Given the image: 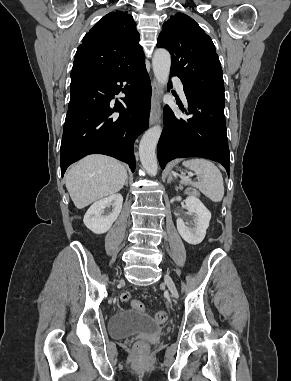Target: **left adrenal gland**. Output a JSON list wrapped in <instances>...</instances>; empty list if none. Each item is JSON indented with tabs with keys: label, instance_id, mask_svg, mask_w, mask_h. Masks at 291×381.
Returning <instances> with one entry per match:
<instances>
[{
	"label": "left adrenal gland",
	"instance_id": "a2214340",
	"mask_svg": "<svg viewBox=\"0 0 291 381\" xmlns=\"http://www.w3.org/2000/svg\"><path fill=\"white\" fill-rule=\"evenodd\" d=\"M171 181H173V176H172V173H169L167 183H170Z\"/></svg>",
	"mask_w": 291,
	"mask_h": 381
}]
</instances>
